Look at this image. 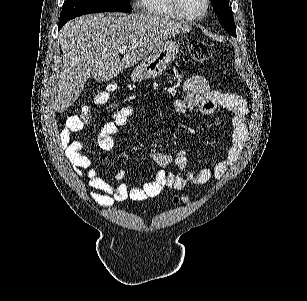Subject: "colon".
Returning <instances> with one entry per match:
<instances>
[{
    "label": "colon",
    "instance_id": "5ec220e1",
    "mask_svg": "<svg viewBox=\"0 0 307 301\" xmlns=\"http://www.w3.org/2000/svg\"><path fill=\"white\" fill-rule=\"evenodd\" d=\"M189 54L190 57L196 62H204L211 58L213 54L212 47L200 40H193L189 43ZM115 90V85L111 84L105 91L98 93L94 98V103L97 105L105 104L109 99V94ZM93 120L91 110L85 109L81 115V123L83 126L91 125Z\"/></svg>",
    "mask_w": 307,
    "mask_h": 301
}]
</instances>
